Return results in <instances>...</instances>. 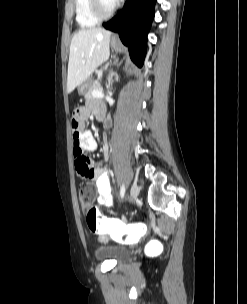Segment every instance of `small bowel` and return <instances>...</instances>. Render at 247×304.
<instances>
[{
    "mask_svg": "<svg viewBox=\"0 0 247 304\" xmlns=\"http://www.w3.org/2000/svg\"><path fill=\"white\" fill-rule=\"evenodd\" d=\"M93 110H104L101 103H94L92 106ZM89 113V107L76 108L75 112H72L71 120V131L73 132L70 136L72 151L75 157V167L78 174L84 178H92L95 181L96 190L98 193L97 202L100 205L111 207L113 205L114 197L112 195V186L108 171L104 167H95L93 162L86 157L85 151H94L97 148L96 141L89 131L83 130L84 121ZM104 155L109 152V145L105 144L103 148ZM86 167L81 168L77 159H86Z\"/></svg>",
    "mask_w": 247,
    "mask_h": 304,
    "instance_id": "c3829d8e",
    "label": "small bowel"
}]
</instances>
